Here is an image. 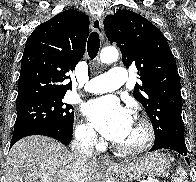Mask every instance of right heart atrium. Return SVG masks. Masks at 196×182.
<instances>
[{
  "label": "right heart atrium",
  "instance_id": "d8ad5b80",
  "mask_svg": "<svg viewBox=\"0 0 196 182\" xmlns=\"http://www.w3.org/2000/svg\"><path fill=\"white\" fill-rule=\"evenodd\" d=\"M76 139L86 147H94L98 145L97 134L88 122H80L75 128Z\"/></svg>",
  "mask_w": 196,
  "mask_h": 182
}]
</instances>
